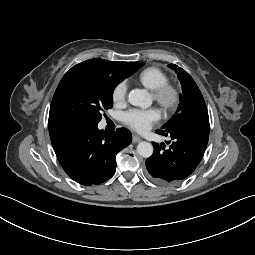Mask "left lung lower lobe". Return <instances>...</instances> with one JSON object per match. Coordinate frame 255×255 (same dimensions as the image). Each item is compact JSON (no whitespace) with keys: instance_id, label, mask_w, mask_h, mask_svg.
Segmentation results:
<instances>
[{"instance_id":"1","label":"left lung lower lobe","mask_w":255,"mask_h":255,"mask_svg":"<svg viewBox=\"0 0 255 255\" xmlns=\"http://www.w3.org/2000/svg\"><path fill=\"white\" fill-rule=\"evenodd\" d=\"M156 133L170 136L173 142L166 150L164 144L153 142V155L146 160L149 174L163 183L186 179L202 160L208 143L209 116L205 102L182 111L173 123Z\"/></svg>"}]
</instances>
